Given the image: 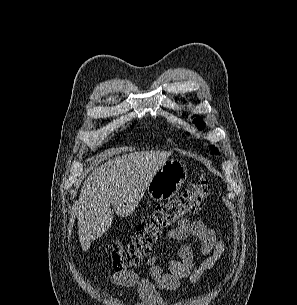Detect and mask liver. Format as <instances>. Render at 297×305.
I'll list each match as a JSON object with an SVG mask.
<instances>
[{
	"label": "liver",
	"instance_id": "1",
	"mask_svg": "<svg viewBox=\"0 0 297 305\" xmlns=\"http://www.w3.org/2000/svg\"><path fill=\"white\" fill-rule=\"evenodd\" d=\"M170 156L171 152H131L93 170L81 189L78 204V235L84 252L91 241L111 227V205L118 215L130 216L150 180Z\"/></svg>",
	"mask_w": 297,
	"mask_h": 305
}]
</instances>
